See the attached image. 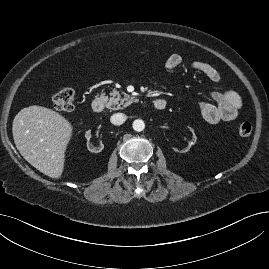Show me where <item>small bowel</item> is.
<instances>
[{"label": "small bowel", "instance_id": "c3829d8e", "mask_svg": "<svg viewBox=\"0 0 269 269\" xmlns=\"http://www.w3.org/2000/svg\"><path fill=\"white\" fill-rule=\"evenodd\" d=\"M182 63V57L178 54H171L167 57L165 65L169 70L177 69ZM191 68L218 82L220 74L211 64L203 61H194ZM208 100L199 102V110L205 121L218 123L220 121L230 122L237 118L242 108V99L234 91H214L209 93Z\"/></svg>", "mask_w": 269, "mask_h": 269}]
</instances>
